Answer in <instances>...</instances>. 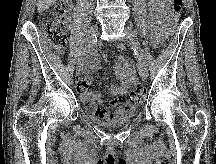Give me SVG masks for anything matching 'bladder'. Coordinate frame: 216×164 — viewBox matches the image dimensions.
I'll list each match as a JSON object with an SVG mask.
<instances>
[{"label":"bladder","mask_w":216,"mask_h":164,"mask_svg":"<svg viewBox=\"0 0 216 164\" xmlns=\"http://www.w3.org/2000/svg\"><path fill=\"white\" fill-rule=\"evenodd\" d=\"M135 112H136L135 109H128L112 120L103 121L100 119H95L94 122L97 125L104 126V127H118L131 121V119L135 116Z\"/></svg>","instance_id":"31cf9c89"}]
</instances>
